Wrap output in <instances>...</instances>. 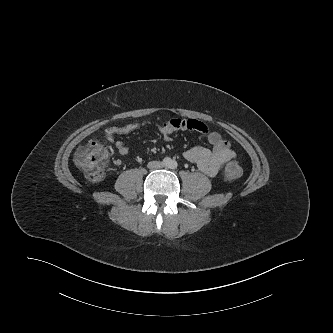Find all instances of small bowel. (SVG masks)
Masks as SVG:
<instances>
[{
	"instance_id": "small-bowel-1",
	"label": "small bowel",
	"mask_w": 333,
	"mask_h": 333,
	"mask_svg": "<svg viewBox=\"0 0 333 333\" xmlns=\"http://www.w3.org/2000/svg\"><path fill=\"white\" fill-rule=\"evenodd\" d=\"M145 126V123H131L124 126H112L105 130V138L113 142L117 136L134 133ZM166 141H170L174 132L178 130L197 131L205 135L212 148L195 146L184 152V158L197 165L208 176L217 175L222 168L235 157L230 144L218 132L211 130L204 123L195 119L173 118L157 127ZM115 147L118 153L126 156L129 153L128 146L122 141H116Z\"/></svg>"
}]
</instances>
